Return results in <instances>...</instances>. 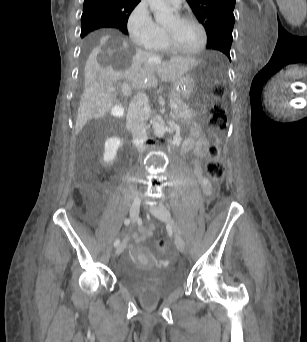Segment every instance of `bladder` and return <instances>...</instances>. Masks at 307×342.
I'll list each match as a JSON object with an SVG mask.
<instances>
[{
    "instance_id": "bladder-1",
    "label": "bladder",
    "mask_w": 307,
    "mask_h": 342,
    "mask_svg": "<svg viewBox=\"0 0 307 342\" xmlns=\"http://www.w3.org/2000/svg\"><path fill=\"white\" fill-rule=\"evenodd\" d=\"M119 279L121 284L134 294L152 300L168 295L181 282L175 273L159 274L154 269L131 260L122 263Z\"/></svg>"
}]
</instances>
